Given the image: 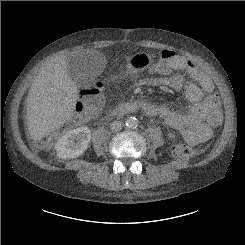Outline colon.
I'll use <instances>...</instances> for the list:
<instances>
[{"instance_id":"5ec220e1","label":"colon","mask_w":245,"mask_h":245,"mask_svg":"<svg viewBox=\"0 0 245 245\" xmlns=\"http://www.w3.org/2000/svg\"><path fill=\"white\" fill-rule=\"evenodd\" d=\"M168 55L170 54H167V56ZM160 69H163V64ZM126 76V72L121 74L122 78H125ZM103 91L104 84L102 82H93L81 92V98L76 104V112L71 121L72 126H80L87 123L101 111L103 105ZM218 101L219 98L215 92L210 93L207 97V103L211 107L217 106ZM220 121V114L212 115L211 123L213 125H219ZM50 138V136H46L44 141H48ZM201 151V146H195L190 143H178L171 148L173 156L177 158H190L198 155Z\"/></svg>"}]
</instances>
